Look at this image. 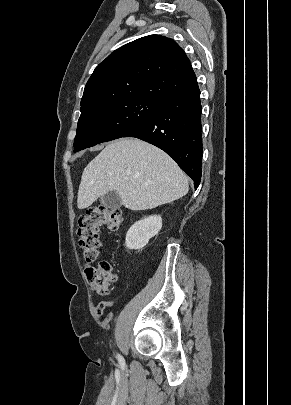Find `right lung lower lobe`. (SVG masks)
Returning a JSON list of instances; mask_svg holds the SVG:
<instances>
[{
    "label": "right lung lower lobe",
    "instance_id": "obj_1",
    "mask_svg": "<svg viewBox=\"0 0 291 405\" xmlns=\"http://www.w3.org/2000/svg\"><path fill=\"white\" fill-rule=\"evenodd\" d=\"M200 90L197 82L171 93L156 112L124 137H135L171 156L199 186L202 173Z\"/></svg>",
    "mask_w": 291,
    "mask_h": 405
}]
</instances>
